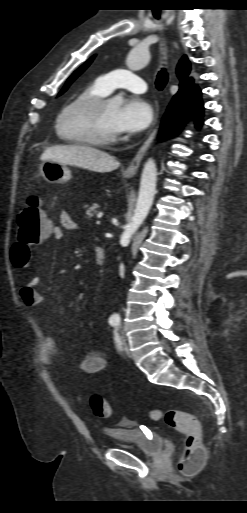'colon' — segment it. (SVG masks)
Wrapping results in <instances>:
<instances>
[{"mask_svg":"<svg viewBox=\"0 0 247 513\" xmlns=\"http://www.w3.org/2000/svg\"><path fill=\"white\" fill-rule=\"evenodd\" d=\"M51 227L52 223L42 207L41 199L36 195L30 196L17 219L16 237L11 248V262L14 267L21 268L27 265L33 247L46 238ZM90 408L93 414L100 418L109 417L111 413L108 402L100 395H93L90 398ZM148 415L152 420L162 421L184 434V450L178 469L186 475L195 474L202 467L206 457L201 440V426L197 418L191 413L174 409H152Z\"/></svg>","mask_w":247,"mask_h":513,"instance_id":"5ec220e1","label":"colon"}]
</instances>
